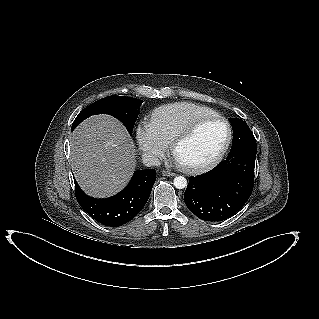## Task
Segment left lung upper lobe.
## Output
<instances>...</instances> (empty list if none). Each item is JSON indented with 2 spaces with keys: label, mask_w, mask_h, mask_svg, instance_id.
<instances>
[{
  "label": "left lung upper lobe",
  "mask_w": 319,
  "mask_h": 319,
  "mask_svg": "<svg viewBox=\"0 0 319 319\" xmlns=\"http://www.w3.org/2000/svg\"><path fill=\"white\" fill-rule=\"evenodd\" d=\"M231 124L234 136L230 153L242 151L257 152L256 140L248 125L238 118H236L235 123Z\"/></svg>",
  "instance_id": "5c2ea615"
}]
</instances>
